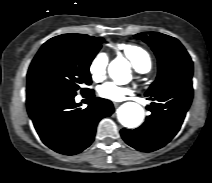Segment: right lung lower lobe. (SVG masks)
Returning a JSON list of instances; mask_svg holds the SVG:
<instances>
[{
  "mask_svg": "<svg viewBox=\"0 0 212 183\" xmlns=\"http://www.w3.org/2000/svg\"><path fill=\"white\" fill-rule=\"evenodd\" d=\"M91 101L81 109L75 103L76 93L50 88L27 90V110L34 127L52 150L74 155L82 152L94 140L98 122L114 112L111 101L84 92Z\"/></svg>",
  "mask_w": 212,
  "mask_h": 183,
  "instance_id": "obj_1",
  "label": "right lung lower lobe"
}]
</instances>
